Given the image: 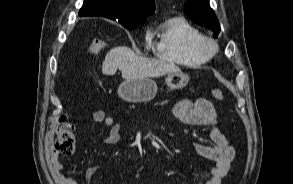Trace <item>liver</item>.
I'll return each instance as SVG.
<instances>
[{"instance_id": "6515ba94", "label": "liver", "mask_w": 293, "mask_h": 184, "mask_svg": "<svg viewBox=\"0 0 293 184\" xmlns=\"http://www.w3.org/2000/svg\"><path fill=\"white\" fill-rule=\"evenodd\" d=\"M119 69L123 79L160 77L180 69L174 63L138 56L128 47H114L105 56L102 73L114 75Z\"/></svg>"}]
</instances>
